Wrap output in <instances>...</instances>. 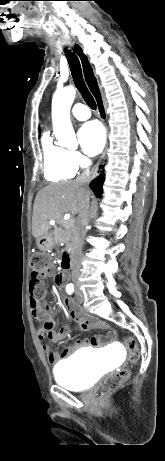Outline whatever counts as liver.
Returning <instances> with one entry per match:
<instances>
[{
    "instance_id": "liver-1",
    "label": "liver",
    "mask_w": 165,
    "mask_h": 461,
    "mask_svg": "<svg viewBox=\"0 0 165 461\" xmlns=\"http://www.w3.org/2000/svg\"><path fill=\"white\" fill-rule=\"evenodd\" d=\"M90 190L78 181H67L49 184L36 195L33 216L32 235L36 240L50 229V222L60 220L63 214H80L85 206L86 198H90Z\"/></svg>"
}]
</instances>
